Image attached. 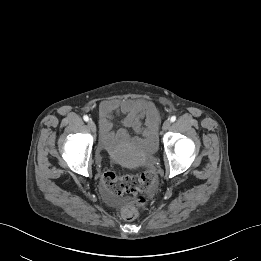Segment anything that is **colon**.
<instances>
[{
    "label": "colon",
    "mask_w": 261,
    "mask_h": 261,
    "mask_svg": "<svg viewBox=\"0 0 261 261\" xmlns=\"http://www.w3.org/2000/svg\"><path fill=\"white\" fill-rule=\"evenodd\" d=\"M156 176L151 170L138 175L119 176L107 169L102 176L105 189L114 196L130 195L137 197L140 193L149 192L155 185ZM143 200L135 198L126 202L121 208V216L125 220H133L138 215V208Z\"/></svg>",
    "instance_id": "obj_1"
}]
</instances>
